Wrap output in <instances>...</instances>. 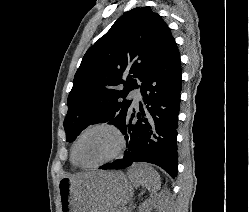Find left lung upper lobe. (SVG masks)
Instances as JSON below:
<instances>
[{
    "mask_svg": "<svg viewBox=\"0 0 249 212\" xmlns=\"http://www.w3.org/2000/svg\"><path fill=\"white\" fill-rule=\"evenodd\" d=\"M173 40L166 23L148 7L124 13L88 49L75 74L64 120L66 141H74L90 124L120 128L132 109L125 97L139 87L135 78L142 82Z\"/></svg>",
    "mask_w": 249,
    "mask_h": 212,
    "instance_id": "1",
    "label": "left lung upper lobe"
}]
</instances>
